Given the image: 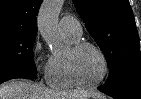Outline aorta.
I'll return each mask as SVG.
<instances>
[{
	"mask_svg": "<svg viewBox=\"0 0 141 99\" xmlns=\"http://www.w3.org/2000/svg\"><path fill=\"white\" fill-rule=\"evenodd\" d=\"M61 7L62 0H45L38 13V31L53 52L64 48L58 31V16Z\"/></svg>",
	"mask_w": 141,
	"mask_h": 99,
	"instance_id": "obj_1",
	"label": "aorta"
}]
</instances>
